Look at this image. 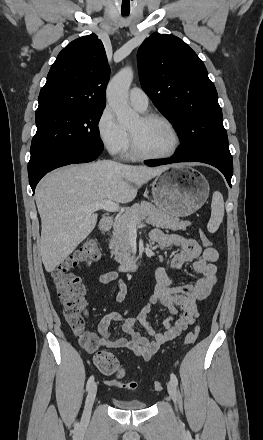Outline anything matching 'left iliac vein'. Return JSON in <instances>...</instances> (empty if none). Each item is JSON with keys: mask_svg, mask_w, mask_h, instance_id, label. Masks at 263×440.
Wrapping results in <instances>:
<instances>
[{"mask_svg": "<svg viewBox=\"0 0 263 440\" xmlns=\"http://www.w3.org/2000/svg\"><path fill=\"white\" fill-rule=\"evenodd\" d=\"M167 389H168V393H169L170 397L172 398L174 403H176L177 402V389H176V385L172 381H169L167 383Z\"/></svg>", "mask_w": 263, "mask_h": 440, "instance_id": "4c4485c4", "label": "left iliac vein"}]
</instances>
